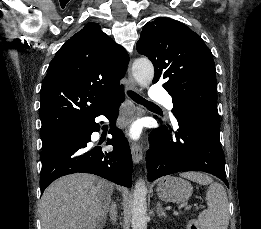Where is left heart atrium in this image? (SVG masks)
Wrapping results in <instances>:
<instances>
[{
    "instance_id": "39dd6f15",
    "label": "left heart atrium",
    "mask_w": 261,
    "mask_h": 229,
    "mask_svg": "<svg viewBox=\"0 0 261 229\" xmlns=\"http://www.w3.org/2000/svg\"><path fill=\"white\" fill-rule=\"evenodd\" d=\"M141 135H142L141 125L136 122L132 123L126 131V136L131 141H138L141 138Z\"/></svg>"
}]
</instances>
